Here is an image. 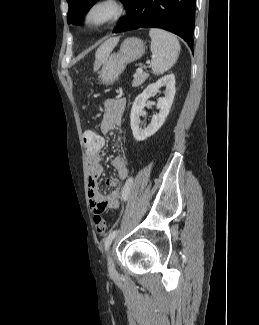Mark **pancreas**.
I'll use <instances>...</instances> for the list:
<instances>
[{
    "instance_id": "1",
    "label": "pancreas",
    "mask_w": 259,
    "mask_h": 325,
    "mask_svg": "<svg viewBox=\"0 0 259 325\" xmlns=\"http://www.w3.org/2000/svg\"><path fill=\"white\" fill-rule=\"evenodd\" d=\"M134 79L132 81V86L133 87H139L140 85H142L145 80L148 78V74L145 72H141V73H135L134 74Z\"/></svg>"
}]
</instances>
